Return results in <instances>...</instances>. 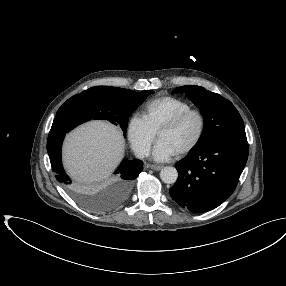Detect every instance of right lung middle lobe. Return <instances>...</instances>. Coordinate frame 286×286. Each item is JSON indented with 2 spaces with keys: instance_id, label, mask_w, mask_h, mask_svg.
Returning a JSON list of instances; mask_svg holds the SVG:
<instances>
[{
  "instance_id": "right-lung-middle-lobe-1",
  "label": "right lung middle lobe",
  "mask_w": 286,
  "mask_h": 286,
  "mask_svg": "<svg viewBox=\"0 0 286 286\" xmlns=\"http://www.w3.org/2000/svg\"><path fill=\"white\" fill-rule=\"evenodd\" d=\"M152 93L153 91L137 93L118 87L95 86L68 99L59 108L53 123L70 131L91 119L108 120L115 125L119 124L125 135L129 116ZM130 189L125 196L121 195V200L128 197ZM82 203L92 210L105 209L97 201L82 199Z\"/></svg>"
}]
</instances>
